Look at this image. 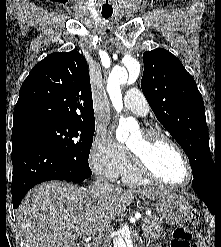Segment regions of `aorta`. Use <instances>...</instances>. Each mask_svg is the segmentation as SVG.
<instances>
[{"instance_id":"aorta-1","label":"aorta","mask_w":221,"mask_h":247,"mask_svg":"<svg viewBox=\"0 0 221 247\" xmlns=\"http://www.w3.org/2000/svg\"><path fill=\"white\" fill-rule=\"evenodd\" d=\"M140 72V64L132 60L126 64L118 65L111 71L107 80V93L112 101L114 108L119 111L123 106L121 85L126 83L128 77L135 80ZM138 129V124L133 118H121L116 130V138L119 142H124L129 137V132ZM114 247H129L122 236L118 235L114 240Z\"/></svg>"}]
</instances>
